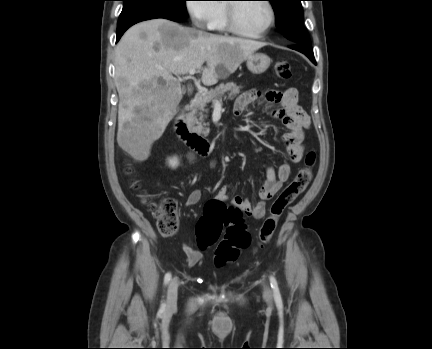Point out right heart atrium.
<instances>
[{"label": "right heart atrium", "instance_id": "right-heart-atrium-1", "mask_svg": "<svg viewBox=\"0 0 432 349\" xmlns=\"http://www.w3.org/2000/svg\"><path fill=\"white\" fill-rule=\"evenodd\" d=\"M217 3L214 0H188L186 1L187 12L198 28H210L213 18L217 12Z\"/></svg>", "mask_w": 432, "mask_h": 349}]
</instances>
